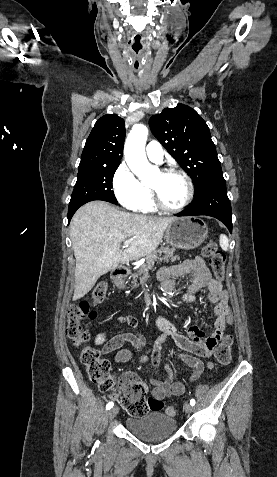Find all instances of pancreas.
Returning a JSON list of instances; mask_svg holds the SVG:
<instances>
[{"label": "pancreas", "instance_id": "1", "mask_svg": "<svg viewBox=\"0 0 277 477\" xmlns=\"http://www.w3.org/2000/svg\"><path fill=\"white\" fill-rule=\"evenodd\" d=\"M174 251H175L174 249L162 247L158 249L157 251L153 252L152 254L148 255L146 257V263L141 265L136 273L132 274L133 287L136 288L139 286V284L137 283V279L140 275H143L144 277L149 276V270L153 268L155 262L168 263L169 261L175 262L176 260H179V257L177 255H174Z\"/></svg>", "mask_w": 277, "mask_h": 477}]
</instances>
